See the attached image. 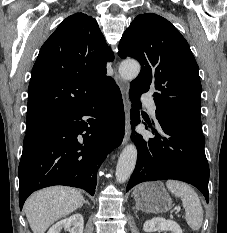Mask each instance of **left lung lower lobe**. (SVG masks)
Returning a JSON list of instances; mask_svg holds the SVG:
<instances>
[{"label":"left lung lower lobe","instance_id":"1","mask_svg":"<svg viewBox=\"0 0 227 233\" xmlns=\"http://www.w3.org/2000/svg\"><path fill=\"white\" fill-rule=\"evenodd\" d=\"M132 128L140 122V93L130 89ZM158 127L151 128L155 138L144 139L141 135L131 138L138 149L135 170L131 175L126 192L145 181L174 179L197 187L209 199V165L201 132L178 122L163 113H157Z\"/></svg>","mask_w":227,"mask_h":233}]
</instances>
